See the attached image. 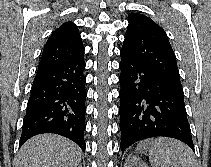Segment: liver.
I'll use <instances>...</instances> for the list:
<instances>
[{"instance_id": "6515ba94", "label": "liver", "mask_w": 211, "mask_h": 167, "mask_svg": "<svg viewBox=\"0 0 211 167\" xmlns=\"http://www.w3.org/2000/svg\"><path fill=\"white\" fill-rule=\"evenodd\" d=\"M82 150L72 141L54 134L29 139L20 149L15 167H76Z\"/></svg>"}]
</instances>
